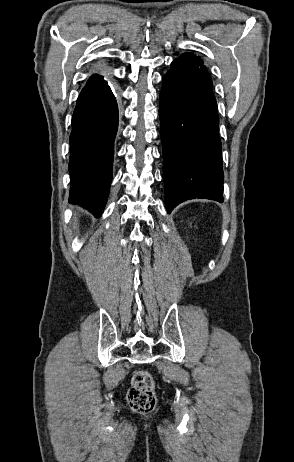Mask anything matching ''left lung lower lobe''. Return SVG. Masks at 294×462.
Here are the masks:
<instances>
[{"label": "left lung lower lobe", "instance_id": "left-lung-lower-lobe-1", "mask_svg": "<svg viewBox=\"0 0 294 462\" xmlns=\"http://www.w3.org/2000/svg\"><path fill=\"white\" fill-rule=\"evenodd\" d=\"M212 86L203 63L182 58L162 78L159 116L168 213L193 198L223 202L222 146Z\"/></svg>", "mask_w": 294, "mask_h": 462}]
</instances>
